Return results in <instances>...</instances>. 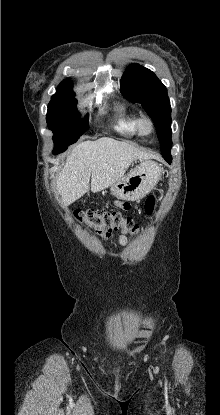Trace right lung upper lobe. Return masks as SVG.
Returning a JSON list of instances; mask_svg holds the SVG:
<instances>
[{
	"label": "right lung upper lobe",
	"mask_w": 220,
	"mask_h": 415,
	"mask_svg": "<svg viewBox=\"0 0 220 415\" xmlns=\"http://www.w3.org/2000/svg\"><path fill=\"white\" fill-rule=\"evenodd\" d=\"M57 93L60 94H72L74 95L72 91V84L69 80H64L57 89Z\"/></svg>",
	"instance_id": "obj_1"
}]
</instances>
